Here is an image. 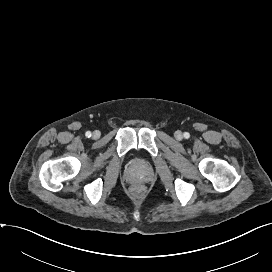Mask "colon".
I'll return each instance as SVG.
<instances>
[{"instance_id":"5ec220e1","label":"colon","mask_w":272,"mask_h":272,"mask_svg":"<svg viewBox=\"0 0 272 272\" xmlns=\"http://www.w3.org/2000/svg\"><path fill=\"white\" fill-rule=\"evenodd\" d=\"M141 191H142V189H141V187H139V186H135V187L133 188V192H134L135 194H140Z\"/></svg>"}]
</instances>
